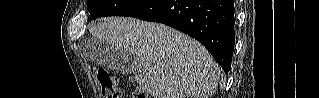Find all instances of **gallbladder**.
I'll return each mask as SVG.
<instances>
[{
	"instance_id": "bac80fb5",
	"label": "gallbladder",
	"mask_w": 319,
	"mask_h": 98,
	"mask_svg": "<svg viewBox=\"0 0 319 98\" xmlns=\"http://www.w3.org/2000/svg\"><path fill=\"white\" fill-rule=\"evenodd\" d=\"M86 57L94 63L125 74L137 73L139 62L127 50H116L109 45L97 42L92 51L86 52Z\"/></svg>"
}]
</instances>
